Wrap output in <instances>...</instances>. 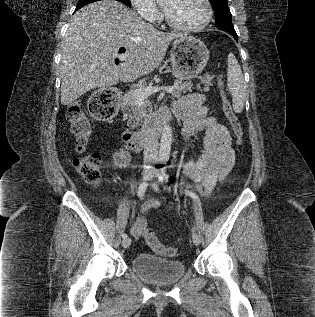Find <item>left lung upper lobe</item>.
<instances>
[{
  "mask_svg": "<svg viewBox=\"0 0 315 317\" xmlns=\"http://www.w3.org/2000/svg\"><path fill=\"white\" fill-rule=\"evenodd\" d=\"M215 12L216 27L218 29L235 32L231 20V12L228 8L227 0H209Z\"/></svg>",
  "mask_w": 315,
  "mask_h": 317,
  "instance_id": "5c2ea615",
  "label": "left lung upper lobe"
}]
</instances>
